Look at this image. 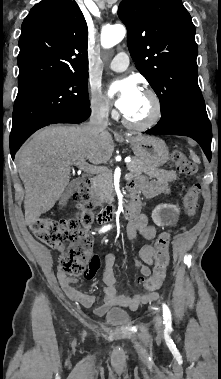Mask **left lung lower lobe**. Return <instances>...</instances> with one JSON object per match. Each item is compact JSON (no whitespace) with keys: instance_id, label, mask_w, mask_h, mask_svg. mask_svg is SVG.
Returning <instances> with one entry per match:
<instances>
[{"instance_id":"1","label":"left lung lower lobe","mask_w":221,"mask_h":379,"mask_svg":"<svg viewBox=\"0 0 221 379\" xmlns=\"http://www.w3.org/2000/svg\"><path fill=\"white\" fill-rule=\"evenodd\" d=\"M145 133L191 137L200 144L208 160H211L212 131L207 113L184 108H171L162 114L156 126Z\"/></svg>"}]
</instances>
